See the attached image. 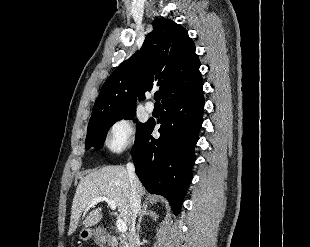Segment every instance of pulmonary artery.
<instances>
[{
  "label": "pulmonary artery",
  "instance_id": "e3ab8cb5",
  "mask_svg": "<svg viewBox=\"0 0 310 247\" xmlns=\"http://www.w3.org/2000/svg\"><path fill=\"white\" fill-rule=\"evenodd\" d=\"M154 104H153V102H151V101H147L146 103H145V110L148 112V113H152L153 111H154Z\"/></svg>",
  "mask_w": 310,
  "mask_h": 247
}]
</instances>
